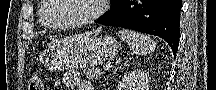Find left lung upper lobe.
I'll list each match as a JSON object with an SVG mask.
<instances>
[{"instance_id": "5c2ea615", "label": "left lung upper lobe", "mask_w": 216, "mask_h": 90, "mask_svg": "<svg viewBox=\"0 0 216 90\" xmlns=\"http://www.w3.org/2000/svg\"><path fill=\"white\" fill-rule=\"evenodd\" d=\"M118 0H111V3L113 4V7L117 4Z\"/></svg>"}]
</instances>
